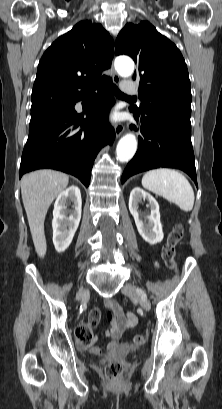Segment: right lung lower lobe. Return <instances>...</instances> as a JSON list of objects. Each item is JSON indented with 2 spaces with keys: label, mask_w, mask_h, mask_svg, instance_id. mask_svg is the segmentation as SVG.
<instances>
[{
  "label": "right lung lower lobe",
  "mask_w": 222,
  "mask_h": 409,
  "mask_svg": "<svg viewBox=\"0 0 222 409\" xmlns=\"http://www.w3.org/2000/svg\"><path fill=\"white\" fill-rule=\"evenodd\" d=\"M95 90L82 99L92 101L89 107L88 102H82L87 111L85 119L79 118L74 109L77 101L55 104L31 115L19 178L36 169L51 168L78 177L88 187L93 160L115 138V131L108 123V111L115 102L110 81L101 83Z\"/></svg>",
  "instance_id": "98d812e1"
}]
</instances>
